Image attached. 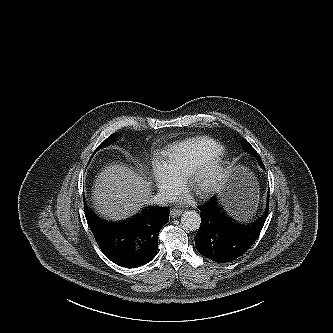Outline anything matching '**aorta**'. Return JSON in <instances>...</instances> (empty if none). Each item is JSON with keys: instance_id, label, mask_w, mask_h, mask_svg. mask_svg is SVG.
I'll list each match as a JSON object with an SVG mask.
<instances>
[{"instance_id": "1", "label": "aorta", "mask_w": 333, "mask_h": 333, "mask_svg": "<svg viewBox=\"0 0 333 333\" xmlns=\"http://www.w3.org/2000/svg\"><path fill=\"white\" fill-rule=\"evenodd\" d=\"M201 223L200 215L194 211H185L181 216V224L186 230L195 231Z\"/></svg>"}]
</instances>
